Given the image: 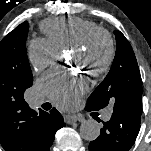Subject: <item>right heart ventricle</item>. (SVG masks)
<instances>
[{
    "label": "right heart ventricle",
    "instance_id": "1",
    "mask_svg": "<svg viewBox=\"0 0 151 151\" xmlns=\"http://www.w3.org/2000/svg\"><path fill=\"white\" fill-rule=\"evenodd\" d=\"M99 28L95 22L78 17L49 19L41 25L46 38L60 51L73 48L90 32Z\"/></svg>",
    "mask_w": 151,
    "mask_h": 151
}]
</instances>
